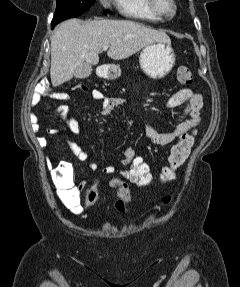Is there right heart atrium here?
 Wrapping results in <instances>:
<instances>
[{
	"mask_svg": "<svg viewBox=\"0 0 240 287\" xmlns=\"http://www.w3.org/2000/svg\"><path fill=\"white\" fill-rule=\"evenodd\" d=\"M105 6H107L109 4L110 0H100Z\"/></svg>",
	"mask_w": 240,
	"mask_h": 287,
	"instance_id": "right-heart-atrium-1",
	"label": "right heart atrium"
}]
</instances>
